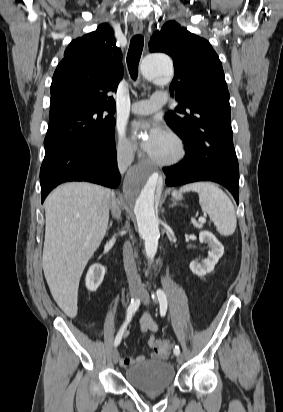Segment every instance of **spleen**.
<instances>
[{"label":"spleen","instance_id":"3e777b00","mask_svg":"<svg viewBox=\"0 0 283 412\" xmlns=\"http://www.w3.org/2000/svg\"><path fill=\"white\" fill-rule=\"evenodd\" d=\"M195 191L199 195V204L224 236L235 232L237 219L234 206L229 197L217 186L209 182H196L184 185L180 192Z\"/></svg>","mask_w":283,"mask_h":412}]
</instances>
